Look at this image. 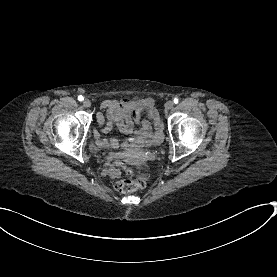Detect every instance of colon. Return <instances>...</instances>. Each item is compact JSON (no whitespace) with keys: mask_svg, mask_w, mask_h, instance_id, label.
<instances>
[{"mask_svg":"<svg viewBox=\"0 0 277 277\" xmlns=\"http://www.w3.org/2000/svg\"><path fill=\"white\" fill-rule=\"evenodd\" d=\"M146 186L144 173L130 172L127 179L119 180L115 183V189L120 193H130Z\"/></svg>","mask_w":277,"mask_h":277,"instance_id":"5ec220e1","label":"colon"}]
</instances>
